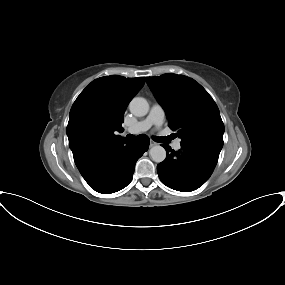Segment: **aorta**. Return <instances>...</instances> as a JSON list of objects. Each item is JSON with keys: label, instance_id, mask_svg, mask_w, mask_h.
Listing matches in <instances>:
<instances>
[{"label": "aorta", "instance_id": "obj_1", "mask_svg": "<svg viewBox=\"0 0 285 285\" xmlns=\"http://www.w3.org/2000/svg\"><path fill=\"white\" fill-rule=\"evenodd\" d=\"M129 109L133 115L142 117L148 113L149 104L145 98L135 97L131 100ZM149 156L154 162L160 163L166 158V150L160 145L153 146L149 150Z\"/></svg>", "mask_w": 285, "mask_h": 285}]
</instances>
